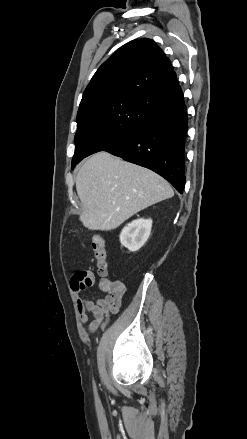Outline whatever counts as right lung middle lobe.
Here are the masks:
<instances>
[{
	"label": "right lung middle lobe",
	"instance_id": "obj_1",
	"mask_svg": "<svg viewBox=\"0 0 247 439\" xmlns=\"http://www.w3.org/2000/svg\"><path fill=\"white\" fill-rule=\"evenodd\" d=\"M150 112L132 101L113 100L78 113L72 168L83 158L122 141Z\"/></svg>",
	"mask_w": 247,
	"mask_h": 439
}]
</instances>
